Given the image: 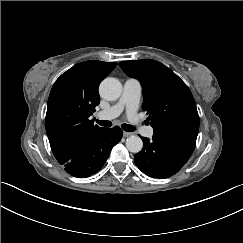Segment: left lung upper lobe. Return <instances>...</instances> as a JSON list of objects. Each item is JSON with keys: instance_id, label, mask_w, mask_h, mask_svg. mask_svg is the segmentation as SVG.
Instances as JSON below:
<instances>
[{"instance_id": "5c2ea615", "label": "left lung upper lobe", "mask_w": 243, "mask_h": 243, "mask_svg": "<svg viewBox=\"0 0 243 243\" xmlns=\"http://www.w3.org/2000/svg\"><path fill=\"white\" fill-rule=\"evenodd\" d=\"M122 70L140 81L142 108L147 111L154 134L172 135L196 141L199 115L187 85L155 60L123 61Z\"/></svg>"}]
</instances>
